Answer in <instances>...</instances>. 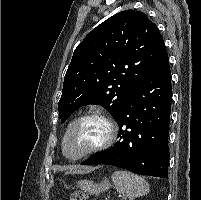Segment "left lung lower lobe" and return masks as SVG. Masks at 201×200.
<instances>
[{"label": "left lung lower lobe", "instance_id": "1", "mask_svg": "<svg viewBox=\"0 0 201 200\" xmlns=\"http://www.w3.org/2000/svg\"><path fill=\"white\" fill-rule=\"evenodd\" d=\"M171 102V71L166 52L122 105L116 117L119 141L81 164H107L139 175L168 178Z\"/></svg>", "mask_w": 201, "mask_h": 200}]
</instances>
